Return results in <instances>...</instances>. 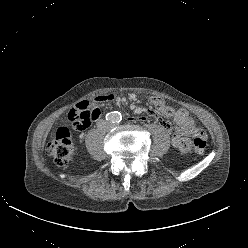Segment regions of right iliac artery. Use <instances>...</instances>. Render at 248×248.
<instances>
[{"mask_svg": "<svg viewBox=\"0 0 248 248\" xmlns=\"http://www.w3.org/2000/svg\"><path fill=\"white\" fill-rule=\"evenodd\" d=\"M114 119H115V115L113 114V112L106 114V120L113 121Z\"/></svg>", "mask_w": 248, "mask_h": 248, "instance_id": "obj_1", "label": "right iliac artery"}]
</instances>
